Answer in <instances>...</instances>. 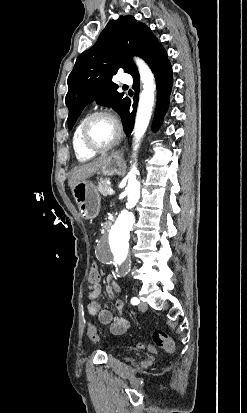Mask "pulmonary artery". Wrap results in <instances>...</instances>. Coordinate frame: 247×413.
Instances as JSON below:
<instances>
[{
	"label": "pulmonary artery",
	"mask_w": 247,
	"mask_h": 413,
	"mask_svg": "<svg viewBox=\"0 0 247 413\" xmlns=\"http://www.w3.org/2000/svg\"><path fill=\"white\" fill-rule=\"evenodd\" d=\"M121 73L123 74L124 72L122 71ZM133 79L130 80V77L127 74H124L123 76L121 74H119V76L116 77V81H118L120 84L123 83V85L126 86V87L129 86V85L133 86L131 84V81Z\"/></svg>",
	"instance_id": "pulmonary-artery-1"
}]
</instances>
